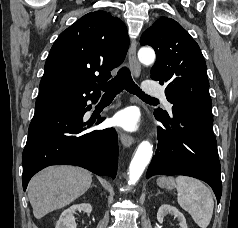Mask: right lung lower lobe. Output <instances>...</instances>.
<instances>
[{"mask_svg": "<svg viewBox=\"0 0 238 228\" xmlns=\"http://www.w3.org/2000/svg\"><path fill=\"white\" fill-rule=\"evenodd\" d=\"M98 98L35 112L22 155L24 191L31 177L49 165H76L97 175L115 178L118 161L116 131L113 128L90 130L94 121L83 120L90 109L87 101L96 102ZM104 119L99 118L96 124Z\"/></svg>", "mask_w": 238, "mask_h": 228, "instance_id": "98d812e1", "label": "right lung lower lobe"}]
</instances>
